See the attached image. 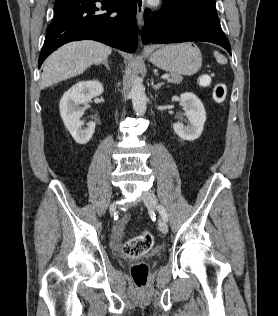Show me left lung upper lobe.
I'll use <instances>...</instances> for the list:
<instances>
[{
	"label": "left lung upper lobe",
	"mask_w": 278,
	"mask_h": 316,
	"mask_svg": "<svg viewBox=\"0 0 278 316\" xmlns=\"http://www.w3.org/2000/svg\"><path fill=\"white\" fill-rule=\"evenodd\" d=\"M177 16L192 17L211 23L221 29L215 0H163Z\"/></svg>",
	"instance_id": "left-lung-upper-lobe-1"
}]
</instances>
